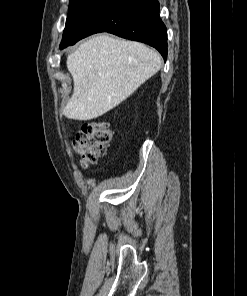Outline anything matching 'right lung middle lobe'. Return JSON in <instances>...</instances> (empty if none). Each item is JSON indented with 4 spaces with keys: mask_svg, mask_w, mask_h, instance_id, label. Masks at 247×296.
<instances>
[{
    "mask_svg": "<svg viewBox=\"0 0 247 296\" xmlns=\"http://www.w3.org/2000/svg\"><path fill=\"white\" fill-rule=\"evenodd\" d=\"M109 0H70L69 13L66 20L60 49L74 45L85 37L88 22Z\"/></svg>",
    "mask_w": 247,
    "mask_h": 296,
    "instance_id": "right-lung-middle-lobe-1",
    "label": "right lung middle lobe"
}]
</instances>
